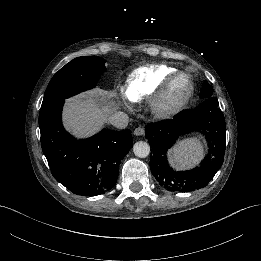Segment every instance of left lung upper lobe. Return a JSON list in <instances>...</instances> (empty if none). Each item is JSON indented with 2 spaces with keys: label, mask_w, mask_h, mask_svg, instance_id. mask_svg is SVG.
I'll list each match as a JSON object with an SVG mask.
<instances>
[{
  "label": "left lung upper lobe",
  "mask_w": 261,
  "mask_h": 261,
  "mask_svg": "<svg viewBox=\"0 0 261 261\" xmlns=\"http://www.w3.org/2000/svg\"><path fill=\"white\" fill-rule=\"evenodd\" d=\"M212 92H213L212 87L207 82H204L203 87H202L201 92H200V97L201 98L211 97Z\"/></svg>",
  "instance_id": "5c2ea615"
}]
</instances>
